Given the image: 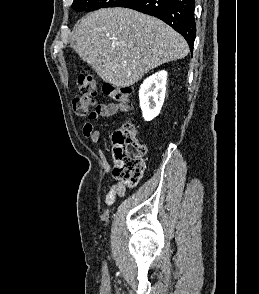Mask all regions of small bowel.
Instances as JSON below:
<instances>
[{"label": "small bowel", "instance_id": "small-bowel-1", "mask_svg": "<svg viewBox=\"0 0 259 294\" xmlns=\"http://www.w3.org/2000/svg\"><path fill=\"white\" fill-rule=\"evenodd\" d=\"M128 109V106L124 103H101L97 105L93 117H90V121L86 122L83 126V134L86 138L90 139L93 143H99L101 141L102 132L99 129H95L92 122L100 117H111L116 114L124 113ZM100 158L102 161L103 169L106 173L109 172L110 167L107 163L104 155L100 152ZM126 193V187L123 183L117 182L113 184L105 196V203L107 206H111L117 197H123Z\"/></svg>", "mask_w": 259, "mask_h": 294}]
</instances>
